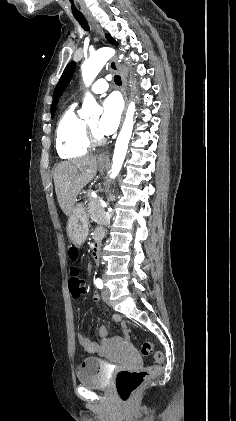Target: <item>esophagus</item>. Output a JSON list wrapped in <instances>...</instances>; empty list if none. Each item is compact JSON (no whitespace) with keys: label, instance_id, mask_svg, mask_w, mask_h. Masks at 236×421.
Here are the masks:
<instances>
[{"label":"esophagus","instance_id":"esophagus-1","mask_svg":"<svg viewBox=\"0 0 236 421\" xmlns=\"http://www.w3.org/2000/svg\"><path fill=\"white\" fill-rule=\"evenodd\" d=\"M87 20L89 21V23L92 25L95 33L99 36V38H103L104 37V32L103 30L100 28V25L96 22V20H94L93 17L91 16H86ZM109 67L110 70L112 71H116L120 74L121 79H122V87H121V92L123 94V98H124V103H125V108L124 111L126 109V105H127V93H126V86H127V81H126V77L125 74L123 73L122 69L120 68L118 62H117V57L114 56L113 58H111L110 62H109ZM124 117V112H123V116L122 119ZM109 155H110V150H107L103 153H101L98 157V160L100 161H109Z\"/></svg>","mask_w":236,"mask_h":421}]
</instances>
